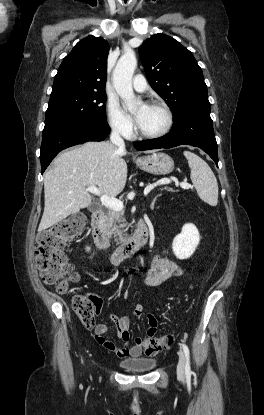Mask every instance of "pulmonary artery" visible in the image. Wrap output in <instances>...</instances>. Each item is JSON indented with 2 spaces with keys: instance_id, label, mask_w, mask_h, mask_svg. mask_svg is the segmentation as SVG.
Here are the masks:
<instances>
[{
  "instance_id": "obj_1",
  "label": "pulmonary artery",
  "mask_w": 264,
  "mask_h": 415,
  "mask_svg": "<svg viewBox=\"0 0 264 415\" xmlns=\"http://www.w3.org/2000/svg\"><path fill=\"white\" fill-rule=\"evenodd\" d=\"M132 85H133V88L138 92H144L148 88L146 80L140 74H137L134 76Z\"/></svg>"
}]
</instances>
